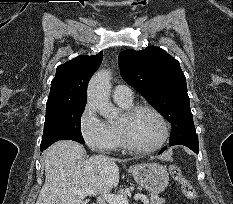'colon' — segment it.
<instances>
[{
	"label": "colon",
	"mask_w": 233,
	"mask_h": 204,
	"mask_svg": "<svg viewBox=\"0 0 233 204\" xmlns=\"http://www.w3.org/2000/svg\"><path fill=\"white\" fill-rule=\"evenodd\" d=\"M169 171L172 178L179 183L184 196L189 200L196 201L198 199L197 192L193 185L183 175L180 167L173 164L170 166Z\"/></svg>",
	"instance_id": "obj_1"
}]
</instances>
